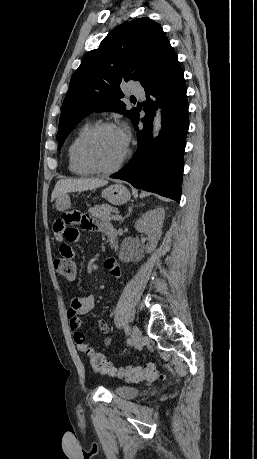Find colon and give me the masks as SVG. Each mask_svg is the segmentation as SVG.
<instances>
[{"label": "colon", "instance_id": "obj_1", "mask_svg": "<svg viewBox=\"0 0 257 459\" xmlns=\"http://www.w3.org/2000/svg\"><path fill=\"white\" fill-rule=\"evenodd\" d=\"M56 272L65 279L76 278L75 261H66L65 258H57L54 262ZM91 366L102 374L113 375L131 381H155L162 377L160 368L154 363H148L143 367L116 368L101 352L93 349L88 350Z\"/></svg>", "mask_w": 257, "mask_h": 459}]
</instances>
